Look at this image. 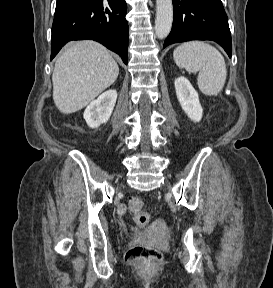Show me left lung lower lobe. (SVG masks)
Returning <instances> with one entry per match:
<instances>
[{
    "label": "left lung lower lobe",
    "mask_w": 273,
    "mask_h": 288,
    "mask_svg": "<svg viewBox=\"0 0 273 288\" xmlns=\"http://www.w3.org/2000/svg\"><path fill=\"white\" fill-rule=\"evenodd\" d=\"M173 27L164 42L212 40L231 57V35L221 0H173Z\"/></svg>",
    "instance_id": "1"
}]
</instances>
